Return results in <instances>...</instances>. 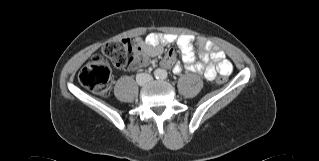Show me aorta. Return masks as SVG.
Here are the masks:
<instances>
[{
	"mask_svg": "<svg viewBox=\"0 0 319 161\" xmlns=\"http://www.w3.org/2000/svg\"><path fill=\"white\" fill-rule=\"evenodd\" d=\"M165 73H166V72H165L164 70L159 69L157 75H158V76H163V75H165Z\"/></svg>",
	"mask_w": 319,
	"mask_h": 161,
	"instance_id": "obj_1",
	"label": "aorta"
}]
</instances>
